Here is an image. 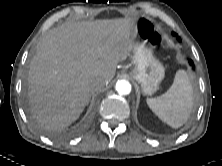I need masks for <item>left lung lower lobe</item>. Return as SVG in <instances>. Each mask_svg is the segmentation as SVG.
Here are the masks:
<instances>
[{
    "label": "left lung lower lobe",
    "mask_w": 222,
    "mask_h": 166,
    "mask_svg": "<svg viewBox=\"0 0 222 166\" xmlns=\"http://www.w3.org/2000/svg\"><path fill=\"white\" fill-rule=\"evenodd\" d=\"M179 40V39H178ZM189 64L192 66V68L194 69V64L193 61L191 59L188 60Z\"/></svg>",
    "instance_id": "1"
}]
</instances>
